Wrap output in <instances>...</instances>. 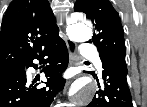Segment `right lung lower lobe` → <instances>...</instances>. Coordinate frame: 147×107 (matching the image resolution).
I'll list each match as a JSON object with an SVG mask.
<instances>
[{
  "instance_id": "obj_1",
  "label": "right lung lower lobe",
  "mask_w": 147,
  "mask_h": 107,
  "mask_svg": "<svg viewBox=\"0 0 147 107\" xmlns=\"http://www.w3.org/2000/svg\"><path fill=\"white\" fill-rule=\"evenodd\" d=\"M38 59L43 66L47 81L46 87H39L37 79L26 76L25 69L37 65ZM68 51L65 42L59 36L39 50L23 66L0 78V107H50L56 93L64 88L62 73L68 66Z\"/></svg>"
}]
</instances>
